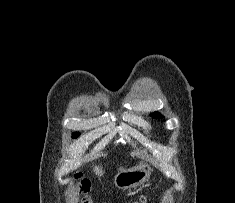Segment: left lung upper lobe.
Returning <instances> with one entry per match:
<instances>
[{
    "label": "left lung upper lobe",
    "instance_id": "5c2ea615",
    "mask_svg": "<svg viewBox=\"0 0 235 203\" xmlns=\"http://www.w3.org/2000/svg\"><path fill=\"white\" fill-rule=\"evenodd\" d=\"M153 117H155V118H163V116L160 114V113H158V112H154V113H152L151 114Z\"/></svg>",
    "mask_w": 235,
    "mask_h": 203
}]
</instances>
